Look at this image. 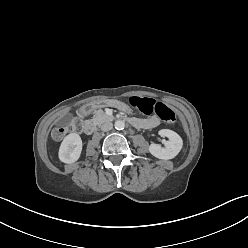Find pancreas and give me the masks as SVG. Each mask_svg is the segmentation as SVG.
Returning <instances> with one entry per match:
<instances>
[{"instance_id":"pancreas-1","label":"pancreas","mask_w":248,"mask_h":248,"mask_svg":"<svg viewBox=\"0 0 248 248\" xmlns=\"http://www.w3.org/2000/svg\"><path fill=\"white\" fill-rule=\"evenodd\" d=\"M113 117L106 115L102 110H99L96 112V115L94 116L93 120L97 122L98 124H102L106 121L112 120Z\"/></svg>"}]
</instances>
